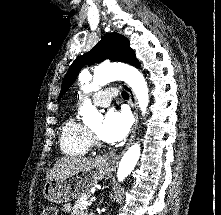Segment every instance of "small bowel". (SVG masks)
Segmentation results:
<instances>
[{"mask_svg":"<svg viewBox=\"0 0 221 215\" xmlns=\"http://www.w3.org/2000/svg\"><path fill=\"white\" fill-rule=\"evenodd\" d=\"M62 210L64 213H68L71 215H89L86 212L82 211V210H73L72 206L70 204H64L62 207Z\"/></svg>","mask_w":221,"mask_h":215,"instance_id":"c3829d8e","label":"small bowel"}]
</instances>
